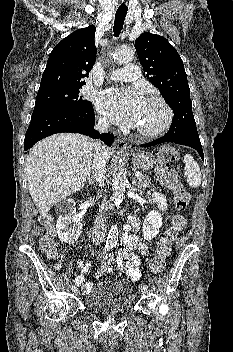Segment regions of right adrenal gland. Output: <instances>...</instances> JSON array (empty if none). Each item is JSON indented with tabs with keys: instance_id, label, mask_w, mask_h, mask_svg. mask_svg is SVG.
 <instances>
[{
	"instance_id": "obj_1",
	"label": "right adrenal gland",
	"mask_w": 233,
	"mask_h": 352,
	"mask_svg": "<svg viewBox=\"0 0 233 352\" xmlns=\"http://www.w3.org/2000/svg\"><path fill=\"white\" fill-rule=\"evenodd\" d=\"M87 183H89L90 185H95L96 181H95L94 177L92 176L91 178L87 179Z\"/></svg>"
}]
</instances>
